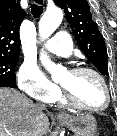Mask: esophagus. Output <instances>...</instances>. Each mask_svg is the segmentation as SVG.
Wrapping results in <instances>:
<instances>
[{
  "mask_svg": "<svg viewBox=\"0 0 117 136\" xmlns=\"http://www.w3.org/2000/svg\"><path fill=\"white\" fill-rule=\"evenodd\" d=\"M34 2L37 4V5H42L44 4V0H34ZM57 117L60 118V119H67V115L62 113V112H59L57 114Z\"/></svg>",
  "mask_w": 117,
  "mask_h": 136,
  "instance_id": "esophagus-1",
  "label": "esophagus"
}]
</instances>
